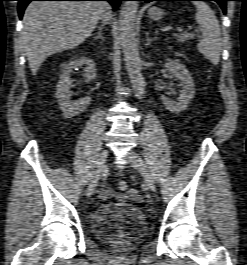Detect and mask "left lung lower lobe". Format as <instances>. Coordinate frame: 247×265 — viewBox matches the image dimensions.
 <instances>
[{
  "label": "left lung lower lobe",
  "instance_id": "0a47b994",
  "mask_svg": "<svg viewBox=\"0 0 247 265\" xmlns=\"http://www.w3.org/2000/svg\"><path fill=\"white\" fill-rule=\"evenodd\" d=\"M136 1H145L146 3H149L151 1H177V0H136ZM186 1H195V0H186ZM202 1H216L220 7L222 8L224 14L226 13V1L230 0H202Z\"/></svg>",
  "mask_w": 247,
  "mask_h": 265
}]
</instances>
